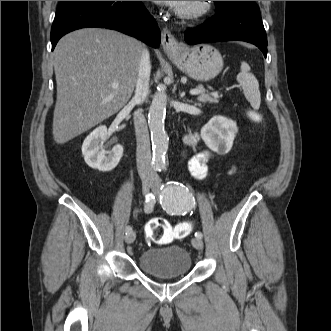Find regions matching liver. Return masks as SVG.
<instances>
[{"label":"liver","mask_w":331,"mask_h":331,"mask_svg":"<svg viewBox=\"0 0 331 331\" xmlns=\"http://www.w3.org/2000/svg\"><path fill=\"white\" fill-rule=\"evenodd\" d=\"M143 45L107 29L84 28L57 43L53 138L64 144L116 114L130 99ZM118 83V88H112Z\"/></svg>","instance_id":"1"}]
</instances>
